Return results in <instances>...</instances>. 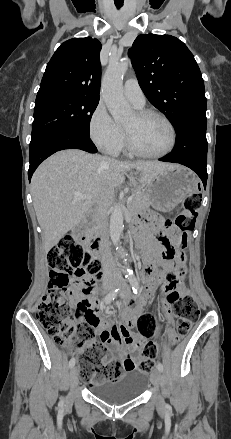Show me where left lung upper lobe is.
Returning a JSON list of instances; mask_svg holds the SVG:
<instances>
[{"label":"left lung upper lobe","mask_w":231,"mask_h":439,"mask_svg":"<svg viewBox=\"0 0 231 439\" xmlns=\"http://www.w3.org/2000/svg\"><path fill=\"white\" fill-rule=\"evenodd\" d=\"M129 55L144 94L176 131L190 119L206 117L204 81L182 41L171 35H139Z\"/></svg>","instance_id":"left-lung-upper-lobe-1"}]
</instances>
